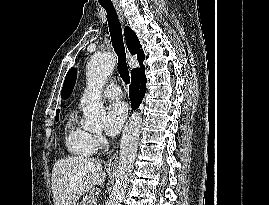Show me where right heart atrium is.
<instances>
[{
  "mask_svg": "<svg viewBox=\"0 0 269 205\" xmlns=\"http://www.w3.org/2000/svg\"><path fill=\"white\" fill-rule=\"evenodd\" d=\"M91 139L95 150L103 148L106 144V139L101 133L92 134Z\"/></svg>",
  "mask_w": 269,
  "mask_h": 205,
  "instance_id": "obj_1",
  "label": "right heart atrium"
}]
</instances>
